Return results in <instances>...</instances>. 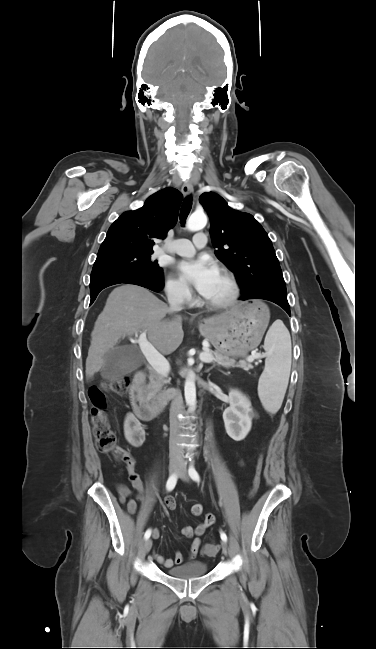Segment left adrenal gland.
Listing matches in <instances>:
<instances>
[{
	"label": "left adrenal gland",
	"instance_id": "1",
	"mask_svg": "<svg viewBox=\"0 0 376 649\" xmlns=\"http://www.w3.org/2000/svg\"><path fill=\"white\" fill-rule=\"evenodd\" d=\"M211 369H212V367L208 368V369L206 370V372H209Z\"/></svg>",
	"mask_w": 376,
	"mask_h": 649
}]
</instances>
